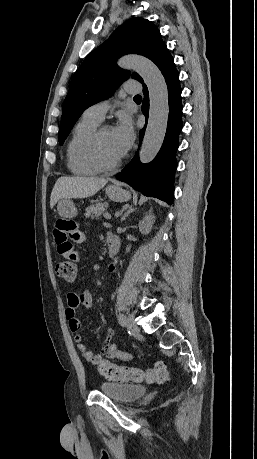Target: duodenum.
<instances>
[{"label": "duodenum", "mask_w": 257, "mask_h": 459, "mask_svg": "<svg viewBox=\"0 0 257 459\" xmlns=\"http://www.w3.org/2000/svg\"><path fill=\"white\" fill-rule=\"evenodd\" d=\"M107 246H108L109 256L115 257L119 251V241L113 234L108 235Z\"/></svg>", "instance_id": "1"}]
</instances>
